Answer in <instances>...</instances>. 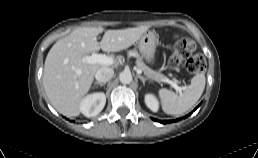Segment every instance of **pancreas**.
Instances as JSON below:
<instances>
[{
	"label": "pancreas",
	"instance_id": "pancreas-1",
	"mask_svg": "<svg viewBox=\"0 0 258 158\" xmlns=\"http://www.w3.org/2000/svg\"><path fill=\"white\" fill-rule=\"evenodd\" d=\"M128 55L133 56L136 58V67L137 69L142 70L144 75H146L148 78L155 80L157 82H162V79L165 78V76L159 72H156L149 68L142 60V57L139 55V53L136 50H131L128 52Z\"/></svg>",
	"mask_w": 258,
	"mask_h": 158
}]
</instances>
